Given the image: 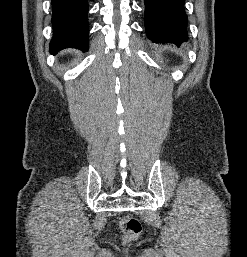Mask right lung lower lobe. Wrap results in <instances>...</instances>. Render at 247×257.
Returning <instances> with one entry per match:
<instances>
[{"label": "right lung lower lobe", "mask_w": 247, "mask_h": 257, "mask_svg": "<svg viewBox=\"0 0 247 257\" xmlns=\"http://www.w3.org/2000/svg\"><path fill=\"white\" fill-rule=\"evenodd\" d=\"M52 54L65 48L88 50L87 0H52Z\"/></svg>", "instance_id": "1"}]
</instances>
